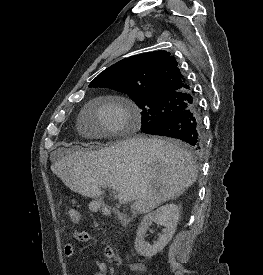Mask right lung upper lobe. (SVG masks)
I'll return each instance as SVG.
<instances>
[{"instance_id": "1", "label": "right lung upper lobe", "mask_w": 263, "mask_h": 275, "mask_svg": "<svg viewBox=\"0 0 263 275\" xmlns=\"http://www.w3.org/2000/svg\"><path fill=\"white\" fill-rule=\"evenodd\" d=\"M90 87L122 90L129 95L189 94L190 87L167 51L134 55L101 72Z\"/></svg>"}]
</instances>
